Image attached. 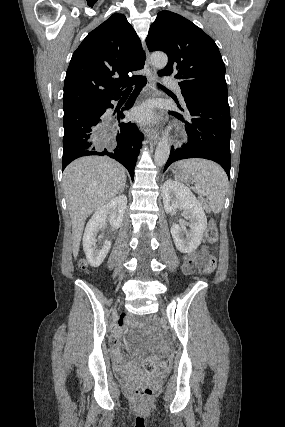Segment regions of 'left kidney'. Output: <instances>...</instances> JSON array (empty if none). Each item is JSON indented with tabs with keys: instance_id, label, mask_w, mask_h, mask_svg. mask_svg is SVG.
Returning <instances> with one entry per match:
<instances>
[{
	"instance_id": "obj_1",
	"label": "left kidney",
	"mask_w": 285,
	"mask_h": 427,
	"mask_svg": "<svg viewBox=\"0 0 285 427\" xmlns=\"http://www.w3.org/2000/svg\"><path fill=\"white\" fill-rule=\"evenodd\" d=\"M161 188L164 209L167 213H175L178 208H183L189 213L190 230L186 231L183 225L173 224L171 234L180 252L192 253L201 244L207 227L205 212L194 194L183 184L167 180Z\"/></svg>"
}]
</instances>
